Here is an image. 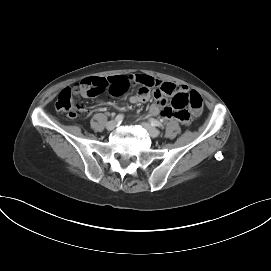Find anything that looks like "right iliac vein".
<instances>
[{
	"label": "right iliac vein",
	"mask_w": 271,
	"mask_h": 271,
	"mask_svg": "<svg viewBox=\"0 0 271 271\" xmlns=\"http://www.w3.org/2000/svg\"><path fill=\"white\" fill-rule=\"evenodd\" d=\"M117 123L115 121H109L107 124H106V128L107 130L111 131L113 129H115Z\"/></svg>",
	"instance_id": "right-iliac-vein-1"
}]
</instances>
